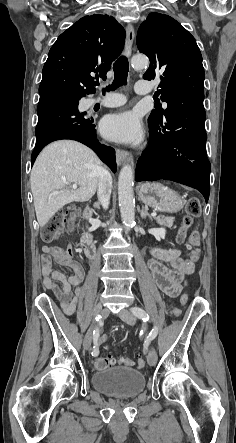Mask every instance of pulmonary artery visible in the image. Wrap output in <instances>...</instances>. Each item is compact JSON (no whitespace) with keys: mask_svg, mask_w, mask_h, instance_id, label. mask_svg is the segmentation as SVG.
Returning a JSON list of instances; mask_svg holds the SVG:
<instances>
[{"mask_svg":"<svg viewBox=\"0 0 236 443\" xmlns=\"http://www.w3.org/2000/svg\"><path fill=\"white\" fill-rule=\"evenodd\" d=\"M135 91L138 94H147L151 91V87L149 85V83L147 81H138L135 84ZM98 101L96 99H90L88 101V105L89 106H93L97 103ZM125 103V98L122 96H119L117 99L115 100H111V101H104L101 102L100 104L104 107H117L120 106L122 104Z\"/></svg>","mask_w":236,"mask_h":443,"instance_id":"pulmonary-artery-1","label":"pulmonary artery"}]
</instances>
